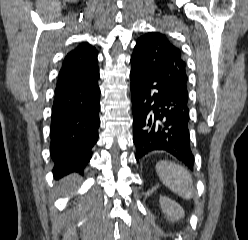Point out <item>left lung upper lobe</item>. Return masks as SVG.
Returning a JSON list of instances; mask_svg holds the SVG:
<instances>
[{"mask_svg":"<svg viewBox=\"0 0 248 240\" xmlns=\"http://www.w3.org/2000/svg\"><path fill=\"white\" fill-rule=\"evenodd\" d=\"M131 60L149 73L188 96L186 63L180 49L160 32H149L138 38Z\"/></svg>","mask_w":248,"mask_h":240,"instance_id":"1","label":"left lung upper lobe"}]
</instances>
